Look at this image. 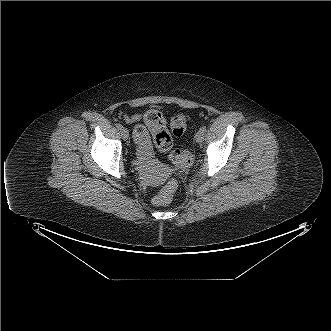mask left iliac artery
Wrapping results in <instances>:
<instances>
[{
  "label": "left iliac artery",
  "mask_w": 331,
  "mask_h": 331,
  "mask_svg": "<svg viewBox=\"0 0 331 331\" xmlns=\"http://www.w3.org/2000/svg\"><path fill=\"white\" fill-rule=\"evenodd\" d=\"M200 130H201L203 133H205V132H206V126H202V127L200 128Z\"/></svg>",
  "instance_id": "obj_1"
}]
</instances>
